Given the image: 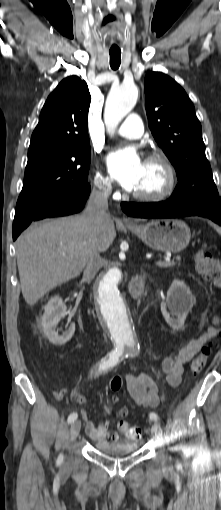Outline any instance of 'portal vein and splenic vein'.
<instances>
[{"label":"portal vein and splenic vein","mask_w":221,"mask_h":510,"mask_svg":"<svg viewBox=\"0 0 221 510\" xmlns=\"http://www.w3.org/2000/svg\"><path fill=\"white\" fill-rule=\"evenodd\" d=\"M171 264L172 263L170 262L169 259H165L164 261H157L156 262V265L159 266V267H166V266H169Z\"/></svg>","instance_id":"obj_1"}]
</instances>
